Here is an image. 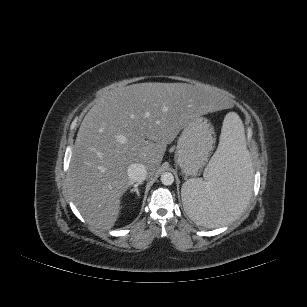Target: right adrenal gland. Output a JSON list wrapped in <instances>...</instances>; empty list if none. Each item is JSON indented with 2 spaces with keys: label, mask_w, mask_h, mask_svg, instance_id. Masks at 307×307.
<instances>
[{
  "label": "right adrenal gland",
  "mask_w": 307,
  "mask_h": 307,
  "mask_svg": "<svg viewBox=\"0 0 307 307\" xmlns=\"http://www.w3.org/2000/svg\"><path fill=\"white\" fill-rule=\"evenodd\" d=\"M141 182H138L136 184H134L133 188L130 189V193H136L137 197L140 196L139 190H138V186L141 185Z\"/></svg>",
  "instance_id": "2a0ac1e0"
}]
</instances>
